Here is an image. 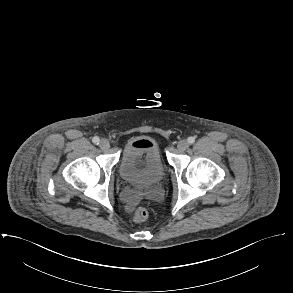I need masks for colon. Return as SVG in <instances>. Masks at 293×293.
<instances>
[{"instance_id":"1","label":"colon","mask_w":293,"mask_h":293,"mask_svg":"<svg viewBox=\"0 0 293 293\" xmlns=\"http://www.w3.org/2000/svg\"><path fill=\"white\" fill-rule=\"evenodd\" d=\"M148 218V211L144 206H138L134 212L135 222H144Z\"/></svg>"}]
</instances>
